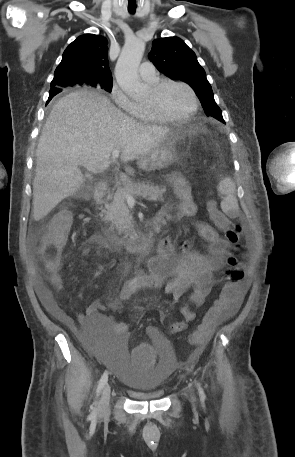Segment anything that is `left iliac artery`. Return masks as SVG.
I'll return each instance as SVG.
<instances>
[{
  "label": "left iliac artery",
  "instance_id": "1",
  "mask_svg": "<svg viewBox=\"0 0 295 457\" xmlns=\"http://www.w3.org/2000/svg\"><path fill=\"white\" fill-rule=\"evenodd\" d=\"M196 384H197V387H198V391H199V395H200V398L201 400H205L206 396H205V393L202 389V387L200 386V383H198L197 381H195Z\"/></svg>",
  "mask_w": 295,
  "mask_h": 457
}]
</instances>
